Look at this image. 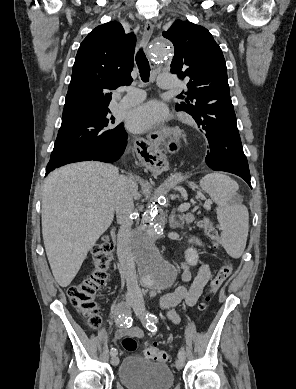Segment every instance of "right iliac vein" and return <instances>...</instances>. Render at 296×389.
<instances>
[{"mask_svg":"<svg viewBox=\"0 0 296 389\" xmlns=\"http://www.w3.org/2000/svg\"><path fill=\"white\" fill-rule=\"evenodd\" d=\"M135 301H136V299H135L134 296H132V295H127V306H128V308H129V306L134 305ZM118 363H119V358H118V356H116V355H115V356H112V358H111V364L114 365V366H116V365H118Z\"/></svg>","mask_w":296,"mask_h":389,"instance_id":"obj_1","label":"right iliac vein"}]
</instances>
